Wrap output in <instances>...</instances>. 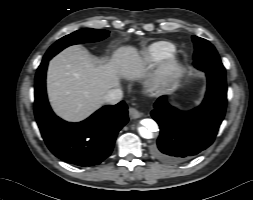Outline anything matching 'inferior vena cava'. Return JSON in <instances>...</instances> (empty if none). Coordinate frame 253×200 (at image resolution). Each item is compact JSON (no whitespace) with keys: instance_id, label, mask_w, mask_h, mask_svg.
<instances>
[{"instance_id":"inferior-vena-cava-1","label":"inferior vena cava","mask_w":253,"mask_h":200,"mask_svg":"<svg viewBox=\"0 0 253 200\" xmlns=\"http://www.w3.org/2000/svg\"><path fill=\"white\" fill-rule=\"evenodd\" d=\"M123 92L120 88L110 89L104 96V102L114 105L122 100Z\"/></svg>"}]
</instances>
